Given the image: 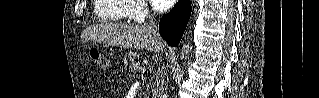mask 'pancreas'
Instances as JSON below:
<instances>
[{
	"label": "pancreas",
	"instance_id": "obj_1",
	"mask_svg": "<svg viewBox=\"0 0 319 98\" xmlns=\"http://www.w3.org/2000/svg\"><path fill=\"white\" fill-rule=\"evenodd\" d=\"M138 58V54L136 52H128L125 54V60L126 61H134L135 59ZM140 67V66H139ZM142 68H140L139 70H141Z\"/></svg>",
	"mask_w": 319,
	"mask_h": 98
}]
</instances>
